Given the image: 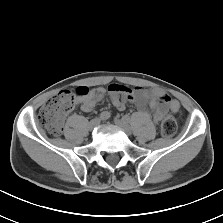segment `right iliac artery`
<instances>
[{
	"label": "right iliac artery",
	"mask_w": 223,
	"mask_h": 223,
	"mask_svg": "<svg viewBox=\"0 0 223 223\" xmlns=\"http://www.w3.org/2000/svg\"><path fill=\"white\" fill-rule=\"evenodd\" d=\"M110 116H111V115H110L109 112L104 111V112H102V113L100 114L99 118H100V120H107V119L110 118Z\"/></svg>",
	"instance_id": "1"
}]
</instances>
